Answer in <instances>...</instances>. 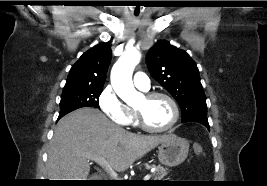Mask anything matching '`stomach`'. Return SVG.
<instances>
[{"instance_id": "obj_1", "label": "stomach", "mask_w": 267, "mask_h": 186, "mask_svg": "<svg viewBox=\"0 0 267 186\" xmlns=\"http://www.w3.org/2000/svg\"><path fill=\"white\" fill-rule=\"evenodd\" d=\"M188 151V141L177 135L170 134L158 147V159L161 164L174 167L185 161Z\"/></svg>"}]
</instances>
